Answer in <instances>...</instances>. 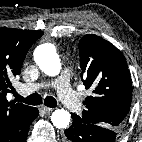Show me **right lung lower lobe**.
Masks as SVG:
<instances>
[{"instance_id":"right-lung-lower-lobe-1","label":"right lung lower lobe","mask_w":142,"mask_h":142,"mask_svg":"<svg viewBox=\"0 0 142 142\" xmlns=\"http://www.w3.org/2000/svg\"><path fill=\"white\" fill-rule=\"evenodd\" d=\"M39 115V111L37 108H33L30 120L27 122V124L23 127V129L20 131L18 136L15 140L12 142H25L28 134V129L32 121Z\"/></svg>"}]
</instances>
